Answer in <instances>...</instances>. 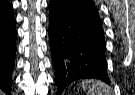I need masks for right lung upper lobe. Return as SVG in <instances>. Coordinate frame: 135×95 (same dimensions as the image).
Masks as SVG:
<instances>
[{"label":"right lung upper lobe","instance_id":"obj_1","mask_svg":"<svg viewBox=\"0 0 135 95\" xmlns=\"http://www.w3.org/2000/svg\"><path fill=\"white\" fill-rule=\"evenodd\" d=\"M12 4L7 0H0V16H8L12 14Z\"/></svg>","mask_w":135,"mask_h":95}]
</instances>
